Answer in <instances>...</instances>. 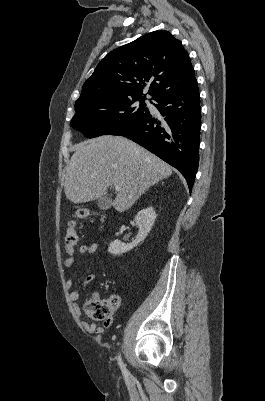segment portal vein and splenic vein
Here are the masks:
<instances>
[{"instance_id": "1", "label": "portal vein and splenic vein", "mask_w": 265, "mask_h": 401, "mask_svg": "<svg viewBox=\"0 0 265 401\" xmlns=\"http://www.w3.org/2000/svg\"><path fill=\"white\" fill-rule=\"evenodd\" d=\"M121 186H118V184H115V190H120Z\"/></svg>"}]
</instances>
